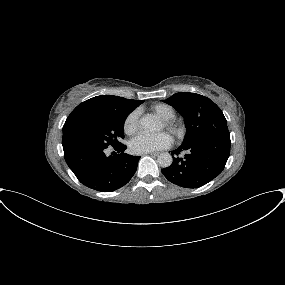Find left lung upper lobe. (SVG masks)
<instances>
[{
    "mask_svg": "<svg viewBox=\"0 0 285 285\" xmlns=\"http://www.w3.org/2000/svg\"><path fill=\"white\" fill-rule=\"evenodd\" d=\"M185 120L186 135L183 144L202 137L230 139L227 121L221 109L209 98L190 92H179L167 100Z\"/></svg>",
    "mask_w": 285,
    "mask_h": 285,
    "instance_id": "1",
    "label": "left lung upper lobe"
}]
</instances>
